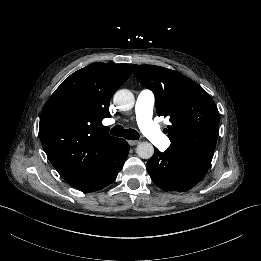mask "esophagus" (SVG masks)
<instances>
[{"label": "esophagus", "mask_w": 261, "mask_h": 261, "mask_svg": "<svg viewBox=\"0 0 261 261\" xmlns=\"http://www.w3.org/2000/svg\"><path fill=\"white\" fill-rule=\"evenodd\" d=\"M128 143H129L131 146H135V145H138V144H139V141L128 140Z\"/></svg>", "instance_id": "obj_1"}]
</instances>
